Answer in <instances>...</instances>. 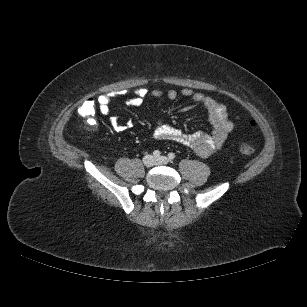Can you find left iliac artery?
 <instances>
[{"instance_id": "left-iliac-artery-1", "label": "left iliac artery", "mask_w": 307, "mask_h": 307, "mask_svg": "<svg viewBox=\"0 0 307 307\" xmlns=\"http://www.w3.org/2000/svg\"><path fill=\"white\" fill-rule=\"evenodd\" d=\"M175 157H176L175 154L172 153V152H170V153L168 154V158H169L170 160H174Z\"/></svg>"}]
</instances>
